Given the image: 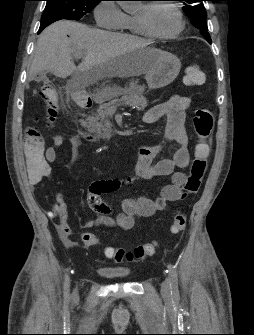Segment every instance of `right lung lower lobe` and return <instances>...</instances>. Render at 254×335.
<instances>
[{
    "label": "right lung lower lobe",
    "instance_id": "right-lung-lower-lobe-1",
    "mask_svg": "<svg viewBox=\"0 0 254 335\" xmlns=\"http://www.w3.org/2000/svg\"><path fill=\"white\" fill-rule=\"evenodd\" d=\"M53 22H55V21H49V22L41 23L38 34H40L45 27H47L48 25H50Z\"/></svg>",
    "mask_w": 254,
    "mask_h": 335
}]
</instances>
